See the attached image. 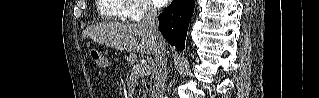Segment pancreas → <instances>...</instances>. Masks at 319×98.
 Returning <instances> with one entry per match:
<instances>
[{
    "instance_id": "obj_1",
    "label": "pancreas",
    "mask_w": 319,
    "mask_h": 98,
    "mask_svg": "<svg viewBox=\"0 0 319 98\" xmlns=\"http://www.w3.org/2000/svg\"><path fill=\"white\" fill-rule=\"evenodd\" d=\"M126 61L135 66L136 61H137V56L135 54H130L128 57H126ZM138 66H142V65H138ZM148 73L149 72H146L145 74L138 75V76H141L142 78H144L145 76H147ZM132 74L135 75L133 70H132ZM143 90H144V92L148 91V88L146 87V83H144V82H143Z\"/></svg>"
}]
</instances>
